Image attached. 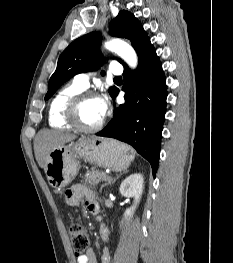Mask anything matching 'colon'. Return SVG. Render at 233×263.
Returning a JSON list of instances; mask_svg holds the SVG:
<instances>
[{"instance_id": "obj_1", "label": "colon", "mask_w": 233, "mask_h": 263, "mask_svg": "<svg viewBox=\"0 0 233 263\" xmlns=\"http://www.w3.org/2000/svg\"><path fill=\"white\" fill-rule=\"evenodd\" d=\"M69 236L74 254L77 257L84 255L89 246V237L85 229L80 225L72 224L69 227Z\"/></svg>"}]
</instances>
